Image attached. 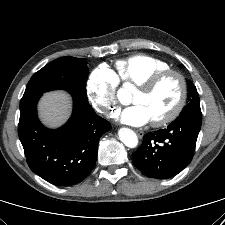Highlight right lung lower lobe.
I'll list each match as a JSON object with an SVG mask.
<instances>
[{
    "mask_svg": "<svg viewBox=\"0 0 225 225\" xmlns=\"http://www.w3.org/2000/svg\"><path fill=\"white\" fill-rule=\"evenodd\" d=\"M42 94L23 96L18 134L30 169L57 186H71L92 171L100 137L111 124L97 116L89 103L73 98L69 121L56 130L44 127L36 105Z\"/></svg>",
    "mask_w": 225,
    "mask_h": 225,
    "instance_id": "98d812e1",
    "label": "right lung lower lobe"
}]
</instances>
